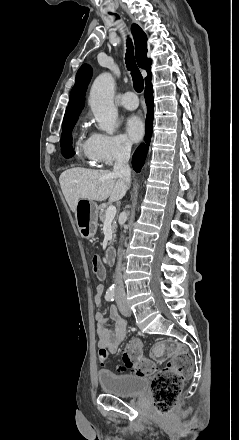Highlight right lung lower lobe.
<instances>
[{
  "mask_svg": "<svg viewBox=\"0 0 239 440\" xmlns=\"http://www.w3.org/2000/svg\"><path fill=\"white\" fill-rule=\"evenodd\" d=\"M151 78L152 75H149L145 78V83H146V87H145V97H146V103L148 106V114L146 117V135H147V145L144 149V151L142 152V154H138V149L136 150L135 154L133 155L132 158V164H133V168L138 172L140 171L141 167L144 164L146 155H147V151H148V147H149V143H150V138L152 135V128H153V108H154V103H153V89H152V84H151ZM65 157H71L73 155V149L71 148L70 150L62 153Z\"/></svg>",
  "mask_w": 239,
  "mask_h": 440,
  "instance_id": "98d812e1",
  "label": "right lung lower lobe"
}]
</instances>
